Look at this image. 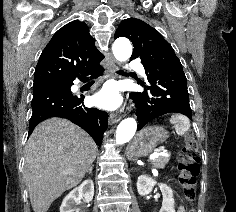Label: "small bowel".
<instances>
[{"mask_svg": "<svg viewBox=\"0 0 236 212\" xmlns=\"http://www.w3.org/2000/svg\"><path fill=\"white\" fill-rule=\"evenodd\" d=\"M177 212H185V211H184V208L182 206H179L178 209H177Z\"/></svg>", "mask_w": 236, "mask_h": 212, "instance_id": "c3829d8e", "label": "small bowel"}]
</instances>
